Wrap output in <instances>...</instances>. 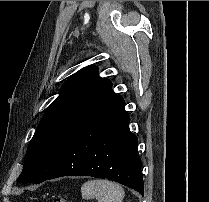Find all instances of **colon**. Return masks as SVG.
Wrapping results in <instances>:
<instances>
[{
	"mask_svg": "<svg viewBox=\"0 0 209 202\" xmlns=\"http://www.w3.org/2000/svg\"><path fill=\"white\" fill-rule=\"evenodd\" d=\"M51 202H71V201L67 200L66 198L56 197Z\"/></svg>",
	"mask_w": 209,
	"mask_h": 202,
	"instance_id": "colon-1",
	"label": "colon"
}]
</instances>
